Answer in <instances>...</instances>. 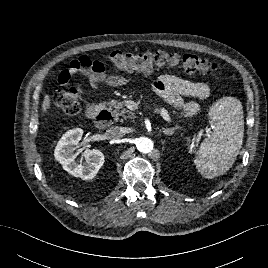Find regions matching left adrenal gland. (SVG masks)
I'll use <instances>...</instances> for the list:
<instances>
[{
	"label": "left adrenal gland",
	"instance_id": "a2214340",
	"mask_svg": "<svg viewBox=\"0 0 268 268\" xmlns=\"http://www.w3.org/2000/svg\"><path fill=\"white\" fill-rule=\"evenodd\" d=\"M177 130V126L176 127H173V128H163V133L168 135V136H171L175 133V131Z\"/></svg>",
	"mask_w": 268,
	"mask_h": 268
}]
</instances>
